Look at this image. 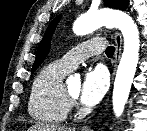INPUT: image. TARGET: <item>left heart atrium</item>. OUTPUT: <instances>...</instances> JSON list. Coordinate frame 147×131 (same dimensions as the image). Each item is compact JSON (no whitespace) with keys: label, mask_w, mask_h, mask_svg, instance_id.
<instances>
[{"label":"left heart atrium","mask_w":147,"mask_h":131,"mask_svg":"<svg viewBox=\"0 0 147 131\" xmlns=\"http://www.w3.org/2000/svg\"><path fill=\"white\" fill-rule=\"evenodd\" d=\"M108 84V76L104 69L96 67L88 70L79 91L81 102L86 106H95L105 95Z\"/></svg>","instance_id":"39dd6f15"}]
</instances>
